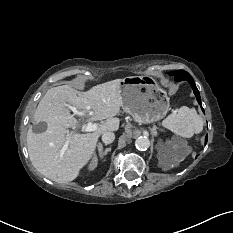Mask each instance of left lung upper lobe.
Instances as JSON below:
<instances>
[{"label":"left lung upper lobe","instance_id":"1","mask_svg":"<svg viewBox=\"0 0 233 233\" xmlns=\"http://www.w3.org/2000/svg\"><path fill=\"white\" fill-rule=\"evenodd\" d=\"M169 74L175 75V78L180 80V78H182L183 76L188 75L189 73L184 71V70H177V71L170 72Z\"/></svg>","mask_w":233,"mask_h":233}]
</instances>
